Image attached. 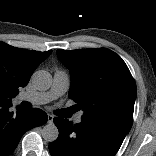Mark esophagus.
I'll use <instances>...</instances> for the list:
<instances>
[{
	"mask_svg": "<svg viewBox=\"0 0 156 156\" xmlns=\"http://www.w3.org/2000/svg\"><path fill=\"white\" fill-rule=\"evenodd\" d=\"M53 119H54V116L48 114V123H49V124L53 123Z\"/></svg>",
	"mask_w": 156,
	"mask_h": 156,
	"instance_id": "esophagus-1",
	"label": "esophagus"
}]
</instances>
